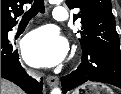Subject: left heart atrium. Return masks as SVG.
I'll use <instances>...</instances> for the list:
<instances>
[{
    "label": "left heart atrium",
    "instance_id": "obj_1",
    "mask_svg": "<svg viewBox=\"0 0 121 94\" xmlns=\"http://www.w3.org/2000/svg\"><path fill=\"white\" fill-rule=\"evenodd\" d=\"M23 56L31 65L51 67L59 64L67 53V43L52 26L29 33L22 46Z\"/></svg>",
    "mask_w": 121,
    "mask_h": 94
}]
</instances>
